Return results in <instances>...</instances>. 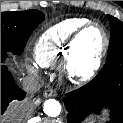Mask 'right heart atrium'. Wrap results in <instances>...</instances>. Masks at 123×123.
<instances>
[{
	"label": "right heart atrium",
	"mask_w": 123,
	"mask_h": 123,
	"mask_svg": "<svg viewBox=\"0 0 123 123\" xmlns=\"http://www.w3.org/2000/svg\"><path fill=\"white\" fill-rule=\"evenodd\" d=\"M27 69L31 72V73H37L38 72V66L35 63L32 62H28L26 64Z\"/></svg>",
	"instance_id": "1"
}]
</instances>
